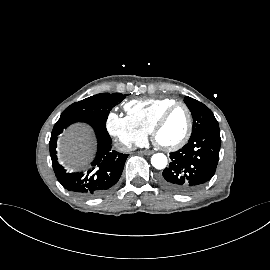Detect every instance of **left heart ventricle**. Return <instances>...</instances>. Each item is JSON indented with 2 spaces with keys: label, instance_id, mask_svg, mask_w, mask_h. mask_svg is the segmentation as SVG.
I'll list each match as a JSON object with an SVG mask.
<instances>
[{
  "label": "left heart ventricle",
  "instance_id": "1",
  "mask_svg": "<svg viewBox=\"0 0 270 270\" xmlns=\"http://www.w3.org/2000/svg\"><path fill=\"white\" fill-rule=\"evenodd\" d=\"M188 117L184 108L175 109L157 135V140L162 145H172L178 142L185 134Z\"/></svg>",
  "mask_w": 270,
  "mask_h": 270
}]
</instances>
